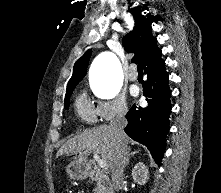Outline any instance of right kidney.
<instances>
[{
	"label": "right kidney",
	"instance_id": "ca27d5eb",
	"mask_svg": "<svg viewBox=\"0 0 221 193\" xmlns=\"http://www.w3.org/2000/svg\"><path fill=\"white\" fill-rule=\"evenodd\" d=\"M148 174V168L143 162L137 163L132 169L133 180L139 185H144L147 183V180L149 179Z\"/></svg>",
	"mask_w": 221,
	"mask_h": 193
}]
</instances>
